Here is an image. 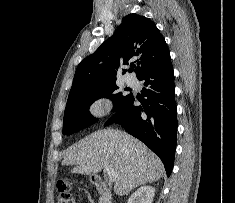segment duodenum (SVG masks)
Returning <instances> with one entry per match:
<instances>
[{"instance_id": "duodenum-1", "label": "duodenum", "mask_w": 235, "mask_h": 203, "mask_svg": "<svg viewBox=\"0 0 235 203\" xmlns=\"http://www.w3.org/2000/svg\"><path fill=\"white\" fill-rule=\"evenodd\" d=\"M92 183L96 190L101 194L105 203H111V191L107 183L99 176L92 177Z\"/></svg>"}]
</instances>
